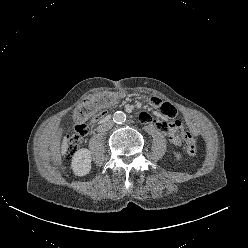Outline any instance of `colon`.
<instances>
[{"label": "colon", "instance_id": "obj_1", "mask_svg": "<svg viewBox=\"0 0 248 248\" xmlns=\"http://www.w3.org/2000/svg\"><path fill=\"white\" fill-rule=\"evenodd\" d=\"M115 100L116 95L114 93H103L81 103L76 108L73 116V128L75 133L68 136L65 140V154L67 157H71L76 153L83 138L88 134L89 127L87 120L94 114L111 106ZM187 152L192 156L198 153V144L196 141L190 142L187 147Z\"/></svg>", "mask_w": 248, "mask_h": 248}]
</instances>
